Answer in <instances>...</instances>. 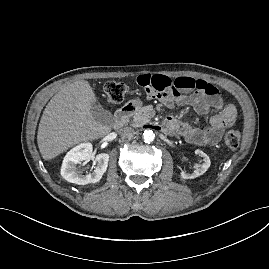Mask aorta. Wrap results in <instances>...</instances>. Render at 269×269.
<instances>
[{"instance_id": "1", "label": "aorta", "mask_w": 269, "mask_h": 269, "mask_svg": "<svg viewBox=\"0 0 269 269\" xmlns=\"http://www.w3.org/2000/svg\"><path fill=\"white\" fill-rule=\"evenodd\" d=\"M155 139V134L152 130H145L143 133V140L145 143H151Z\"/></svg>"}]
</instances>
